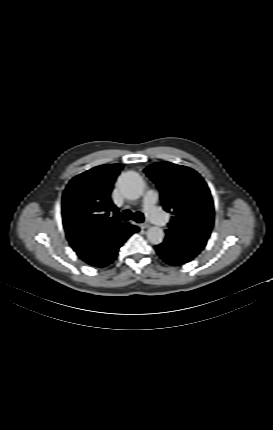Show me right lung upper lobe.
Listing matches in <instances>:
<instances>
[{
  "label": "right lung upper lobe",
  "mask_w": 273,
  "mask_h": 430,
  "mask_svg": "<svg viewBox=\"0 0 273 430\" xmlns=\"http://www.w3.org/2000/svg\"><path fill=\"white\" fill-rule=\"evenodd\" d=\"M120 164L100 165L76 177L62 197L66 236L74 251L87 261L106 237H124L136 227L121 223L118 208L110 199Z\"/></svg>",
  "instance_id": "obj_1"
}]
</instances>
